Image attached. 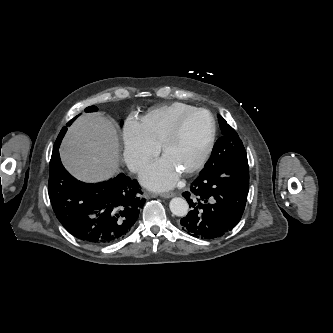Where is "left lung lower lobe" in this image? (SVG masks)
Returning a JSON list of instances; mask_svg holds the SVG:
<instances>
[{
    "mask_svg": "<svg viewBox=\"0 0 333 333\" xmlns=\"http://www.w3.org/2000/svg\"><path fill=\"white\" fill-rule=\"evenodd\" d=\"M248 191L246 156L204 168L183 193L191 211L181 219L180 228L202 239L224 235L240 221Z\"/></svg>",
    "mask_w": 333,
    "mask_h": 333,
    "instance_id": "0a47b994",
    "label": "left lung lower lobe"
}]
</instances>
